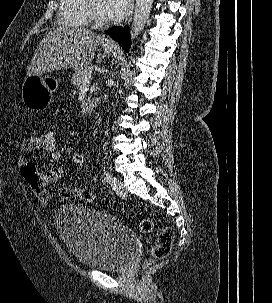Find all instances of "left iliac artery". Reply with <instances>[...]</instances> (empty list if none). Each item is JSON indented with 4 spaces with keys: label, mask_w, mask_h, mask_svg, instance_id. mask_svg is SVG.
Instances as JSON below:
<instances>
[{
    "label": "left iliac artery",
    "mask_w": 272,
    "mask_h": 303,
    "mask_svg": "<svg viewBox=\"0 0 272 303\" xmlns=\"http://www.w3.org/2000/svg\"><path fill=\"white\" fill-rule=\"evenodd\" d=\"M104 179L109 182L111 179V174L108 170H104Z\"/></svg>",
    "instance_id": "44dca946"
}]
</instances>
